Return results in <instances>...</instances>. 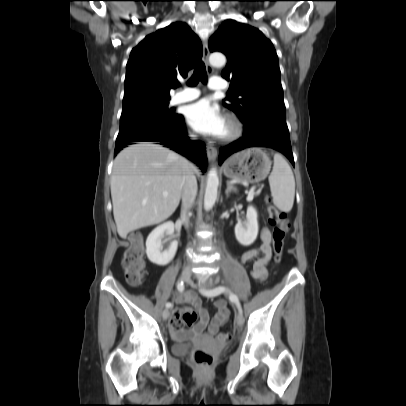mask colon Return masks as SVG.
Segmentation results:
<instances>
[{
	"label": "colon",
	"instance_id": "5ec220e1",
	"mask_svg": "<svg viewBox=\"0 0 406 406\" xmlns=\"http://www.w3.org/2000/svg\"><path fill=\"white\" fill-rule=\"evenodd\" d=\"M269 223L273 227L272 240L275 260L281 259L282 249L286 240L288 231V221L284 212L276 207L269 205L267 207ZM122 267L125 279L130 285H137L142 282L146 274L144 261V247L139 235H133L130 244L125 250L122 258ZM196 320V314L190 312H174L170 324L176 330H182L186 325H191ZM219 343H226L230 339V333L221 332L216 337ZM212 356L204 351H197L194 354V363L197 367L205 368L211 365Z\"/></svg>",
	"mask_w": 406,
	"mask_h": 406
}]
</instances>
